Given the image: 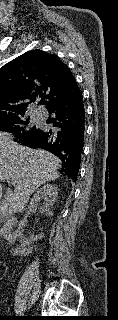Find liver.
Instances as JSON below:
<instances>
[{"label":"liver","instance_id":"liver-1","mask_svg":"<svg viewBox=\"0 0 118 320\" xmlns=\"http://www.w3.org/2000/svg\"><path fill=\"white\" fill-rule=\"evenodd\" d=\"M60 163L52 153L22 146L13 140L11 134L0 132V181L15 182V189H7L5 199L0 202V213L10 215L23 211L34 191L59 178Z\"/></svg>","mask_w":118,"mask_h":320}]
</instances>
